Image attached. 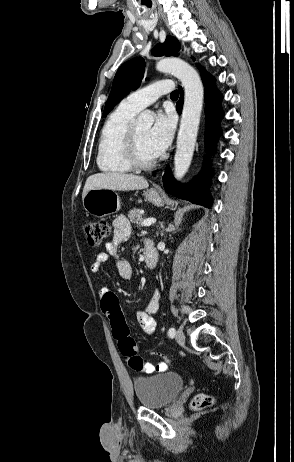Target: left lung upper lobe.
<instances>
[{"instance_id":"5c2ea615","label":"left lung upper lobe","mask_w":294,"mask_h":462,"mask_svg":"<svg viewBox=\"0 0 294 462\" xmlns=\"http://www.w3.org/2000/svg\"><path fill=\"white\" fill-rule=\"evenodd\" d=\"M179 50L178 40L168 36L163 44H158L152 50V54L154 56H177ZM144 71L145 61L141 57L131 59L120 66L115 75L103 116H106L123 97L140 86Z\"/></svg>"}]
</instances>
